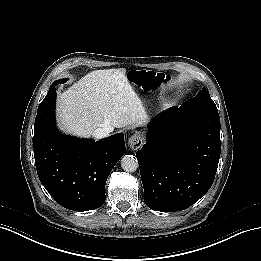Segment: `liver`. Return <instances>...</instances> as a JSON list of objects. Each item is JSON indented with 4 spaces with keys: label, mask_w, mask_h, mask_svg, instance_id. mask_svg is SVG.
Here are the masks:
<instances>
[{
    "label": "liver",
    "mask_w": 261,
    "mask_h": 261,
    "mask_svg": "<svg viewBox=\"0 0 261 261\" xmlns=\"http://www.w3.org/2000/svg\"><path fill=\"white\" fill-rule=\"evenodd\" d=\"M123 69L95 70L60 93L57 121L61 130L90 137L97 128L142 126L146 112L141 100L127 91Z\"/></svg>",
    "instance_id": "obj_1"
}]
</instances>
